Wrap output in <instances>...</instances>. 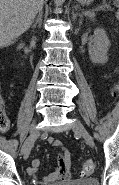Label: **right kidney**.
<instances>
[{
	"label": "right kidney",
	"instance_id": "right-kidney-1",
	"mask_svg": "<svg viewBox=\"0 0 119 185\" xmlns=\"http://www.w3.org/2000/svg\"><path fill=\"white\" fill-rule=\"evenodd\" d=\"M23 47V44H20L19 46H18V49H20V48H22Z\"/></svg>",
	"mask_w": 119,
	"mask_h": 185
}]
</instances>
